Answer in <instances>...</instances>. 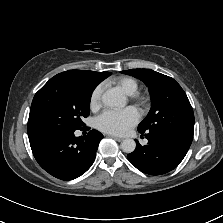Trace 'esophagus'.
<instances>
[{"mask_svg":"<svg viewBox=\"0 0 223 223\" xmlns=\"http://www.w3.org/2000/svg\"><path fill=\"white\" fill-rule=\"evenodd\" d=\"M107 136L110 137V138H113V139H115V140H117L119 142L123 141V138L117 137L115 135L108 134Z\"/></svg>","mask_w":223,"mask_h":223,"instance_id":"obj_1","label":"esophagus"}]
</instances>
